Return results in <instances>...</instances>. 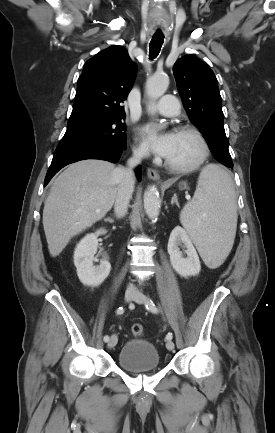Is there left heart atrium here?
Masks as SVG:
<instances>
[{"label":"left heart atrium","mask_w":275,"mask_h":433,"mask_svg":"<svg viewBox=\"0 0 275 433\" xmlns=\"http://www.w3.org/2000/svg\"><path fill=\"white\" fill-rule=\"evenodd\" d=\"M147 146L157 155L167 157L171 151L174 133L160 132L155 125L147 124L141 128Z\"/></svg>","instance_id":"left-heart-atrium-1"}]
</instances>
